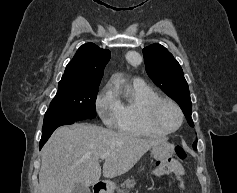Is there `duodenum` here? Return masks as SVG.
I'll list each match as a JSON object with an SVG mask.
<instances>
[{
  "mask_svg": "<svg viewBox=\"0 0 237 193\" xmlns=\"http://www.w3.org/2000/svg\"><path fill=\"white\" fill-rule=\"evenodd\" d=\"M94 193H106L107 185L104 181H97L93 187Z\"/></svg>",
  "mask_w": 237,
  "mask_h": 193,
  "instance_id": "410a0bca",
  "label": "duodenum"
}]
</instances>
